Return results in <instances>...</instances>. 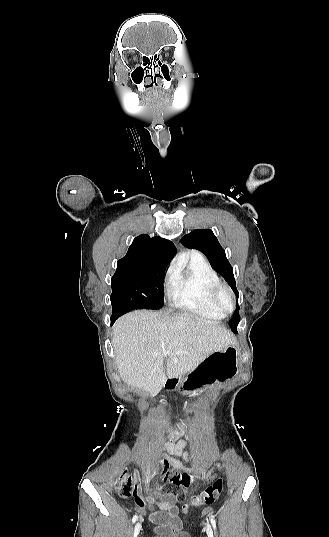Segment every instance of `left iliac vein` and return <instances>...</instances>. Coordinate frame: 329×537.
I'll list each match as a JSON object with an SVG mask.
<instances>
[{
    "mask_svg": "<svg viewBox=\"0 0 329 537\" xmlns=\"http://www.w3.org/2000/svg\"><path fill=\"white\" fill-rule=\"evenodd\" d=\"M205 530L208 537H213V531L208 523L205 525Z\"/></svg>",
    "mask_w": 329,
    "mask_h": 537,
    "instance_id": "1",
    "label": "left iliac vein"
}]
</instances>
